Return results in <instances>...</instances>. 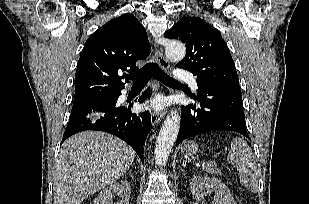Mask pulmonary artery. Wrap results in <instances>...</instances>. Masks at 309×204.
I'll list each match as a JSON object with an SVG mask.
<instances>
[{"label":"pulmonary artery","instance_id":"obj_1","mask_svg":"<svg viewBox=\"0 0 309 204\" xmlns=\"http://www.w3.org/2000/svg\"><path fill=\"white\" fill-rule=\"evenodd\" d=\"M175 76L180 80L187 81L193 89H197V83L195 81L194 75L191 72L178 70L175 72Z\"/></svg>","mask_w":309,"mask_h":204}]
</instances>
